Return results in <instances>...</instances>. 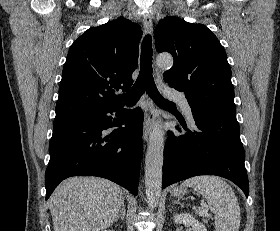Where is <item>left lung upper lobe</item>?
Instances as JSON below:
<instances>
[{"instance_id": "1", "label": "left lung upper lobe", "mask_w": 280, "mask_h": 231, "mask_svg": "<svg viewBox=\"0 0 280 231\" xmlns=\"http://www.w3.org/2000/svg\"><path fill=\"white\" fill-rule=\"evenodd\" d=\"M154 36L156 50L174 58L173 67L164 73L165 82L184 91L192 110L236 114L226 52L205 25L166 17Z\"/></svg>"}]
</instances>
